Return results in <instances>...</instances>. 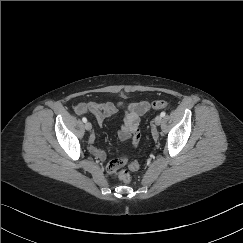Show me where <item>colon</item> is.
Returning a JSON list of instances; mask_svg holds the SVG:
<instances>
[{
  "mask_svg": "<svg viewBox=\"0 0 243 243\" xmlns=\"http://www.w3.org/2000/svg\"><path fill=\"white\" fill-rule=\"evenodd\" d=\"M151 106L155 109H164L169 106V103L166 100H155L151 103ZM117 162L123 166H126L131 171H136L139 169V163L137 161H130L124 154H120L118 156ZM118 176L125 183L131 181V176L127 169L119 171Z\"/></svg>",
  "mask_w": 243,
  "mask_h": 243,
  "instance_id": "1",
  "label": "colon"
}]
</instances>
